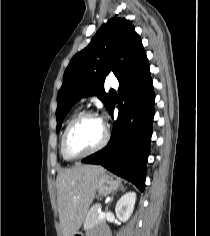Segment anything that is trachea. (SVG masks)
Masks as SVG:
<instances>
[{
  "instance_id": "trachea-1",
  "label": "trachea",
  "mask_w": 210,
  "mask_h": 236,
  "mask_svg": "<svg viewBox=\"0 0 210 236\" xmlns=\"http://www.w3.org/2000/svg\"><path fill=\"white\" fill-rule=\"evenodd\" d=\"M110 92H115V90H111Z\"/></svg>"
}]
</instances>
